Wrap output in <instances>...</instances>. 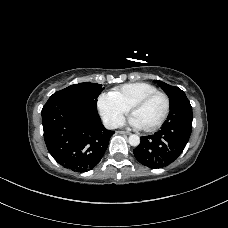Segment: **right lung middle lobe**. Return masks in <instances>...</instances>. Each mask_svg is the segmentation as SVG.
Listing matches in <instances>:
<instances>
[{
    "instance_id": "right-lung-middle-lobe-1",
    "label": "right lung middle lobe",
    "mask_w": 228,
    "mask_h": 228,
    "mask_svg": "<svg viewBox=\"0 0 228 228\" xmlns=\"http://www.w3.org/2000/svg\"><path fill=\"white\" fill-rule=\"evenodd\" d=\"M101 84L79 83L71 85L63 90L55 92L51 97H67L88 103L94 107L97 105V98L102 92Z\"/></svg>"
}]
</instances>
